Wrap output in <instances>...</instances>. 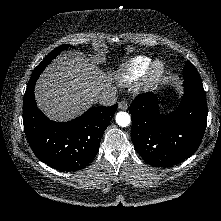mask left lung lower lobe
I'll return each instance as SVG.
<instances>
[{"label": "left lung lower lobe", "mask_w": 221, "mask_h": 221, "mask_svg": "<svg viewBox=\"0 0 221 221\" xmlns=\"http://www.w3.org/2000/svg\"><path fill=\"white\" fill-rule=\"evenodd\" d=\"M179 106L162 114L153 93L138 95L129 112L131 138L136 151L150 165L169 167L192 156L199 147L207 123L204 89L184 86Z\"/></svg>", "instance_id": "0a47b994"}]
</instances>
